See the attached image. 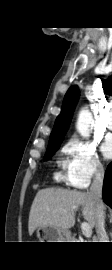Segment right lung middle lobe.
<instances>
[{
  "mask_svg": "<svg viewBox=\"0 0 112 270\" xmlns=\"http://www.w3.org/2000/svg\"><path fill=\"white\" fill-rule=\"evenodd\" d=\"M61 142L57 143H51L48 144L47 151L45 153L44 159H49L52 157V155L57 151V149L60 147Z\"/></svg>",
  "mask_w": 112,
  "mask_h": 270,
  "instance_id": "1",
  "label": "right lung middle lobe"
}]
</instances>
